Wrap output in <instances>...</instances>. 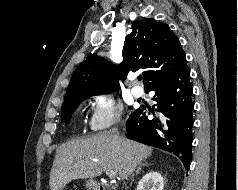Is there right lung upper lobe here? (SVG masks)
<instances>
[{
    "label": "right lung upper lobe",
    "instance_id": "1",
    "mask_svg": "<svg viewBox=\"0 0 238 190\" xmlns=\"http://www.w3.org/2000/svg\"><path fill=\"white\" fill-rule=\"evenodd\" d=\"M123 62H111L89 54L75 70L65 96L117 91L118 80L129 71L143 70L145 90L154 82L174 72L185 60L178 37L169 26L146 18L132 23L122 50Z\"/></svg>",
    "mask_w": 238,
    "mask_h": 190
}]
</instances>
